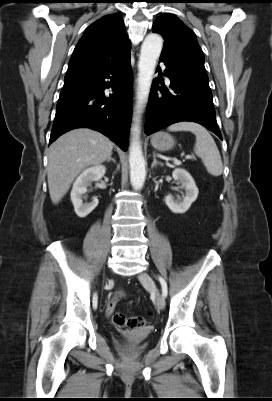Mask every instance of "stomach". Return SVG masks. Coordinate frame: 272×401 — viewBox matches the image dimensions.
Returning <instances> with one entry per match:
<instances>
[{"mask_svg": "<svg viewBox=\"0 0 272 401\" xmlns=\"http://www.w3.org/2000/svg\"><path fill=\"white\" fill-rule=\"evenodd\" d=\"M151 145L158 151H168L175 145L174 138L167 132H158L151 137Z\"/></svg>", "mask_w": 272, "mask_h": 401, "instance_id": "1", "label": "stomach"}]
</instances>
